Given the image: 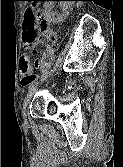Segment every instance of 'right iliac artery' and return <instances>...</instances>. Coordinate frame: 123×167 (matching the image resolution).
Returning <instances> with one entry per match:
<instances>
[{
  "label": "right iliac artery",
  "mask_w": 123,
  "mask_h": 167,
  "mask_svg": "<svg viewBox=\"0 0 123 167\" xmlns=\"http://www.w3.org/2000/svg\"><path fill=\"white\" fill-rule=\"evenodd\" d=\"M37 85V83H32L30 86H29V91H32L34 88H35V86Z\"/></svg>",
  "instance_id": "right-iliac-artery-1"
}]
</instances>
